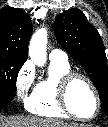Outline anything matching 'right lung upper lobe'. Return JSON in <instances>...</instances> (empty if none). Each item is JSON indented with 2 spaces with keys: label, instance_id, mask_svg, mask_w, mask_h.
Instances as JSON below:
<instances>
[{
  "label": "right lung upper lobe",
  "instance_id": "obj_1",
  "mask_svg": "<svg viewBox=\"0 0 108 127\" xmlns=\"http://www.w3.org/2000/svg\"><path fill=\"white\" fill-rule=\"evenodd\" d=\"M32 29L30 17L22 9H0V54L26 60Z\"/></svg>",
  "mask_w": 108,
  "mask_h": 127
}]
</instances>
